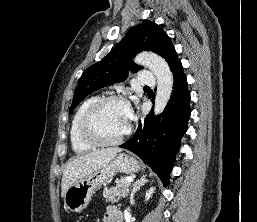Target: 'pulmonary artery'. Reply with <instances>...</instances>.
Returning <instances> with one entry per match:
<instances>
[{
    "mask_svg": "<svg viewBox=\"0 0 257 222\" xmlns=\"http://www.w3.org/2000/svg\"><path fill=\"white\" fill-rule=\"evenodd\" d=\"M139 83L142 85L155 86L156 79L152 73L144 71L139 74Z\"/></svg>",
    "mask_w": 257,
    "mask_h": 222,
    "instance_id": "obj_1",
    "label": "pulmonary artery"
}]
</instances>
